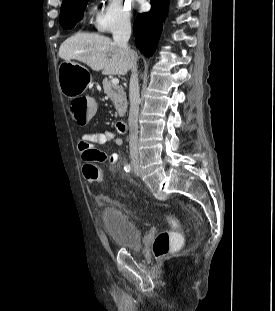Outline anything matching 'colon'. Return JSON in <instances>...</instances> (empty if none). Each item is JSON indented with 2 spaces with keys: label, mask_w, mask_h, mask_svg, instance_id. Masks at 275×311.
<instances>
[{
  "label": "colon",
  "mask_w": 275,
  "mask_h": 311,
  "mask_svg": "<svg viewBox=\"0 0 275 311\" xmlns=\"http://www.w3.org/2000/svg\"><path fill=\"white\" fill-rule=\"evenodd\" d=\"M97 104H101V97H83L75 99L70 104V111L76 125H89L95 117H99L100 112ZM103 161V160H97ZM84 176L91 185H96L101 180V167L96 162H89L84 166ZM188 210H190L188 208ZM166 220L177 227L178 222L175 218L166 216ZM183 245V239L175 231H161L154 239L152 249L156 257H164L167 254L179 250Z\"/></svg>",
  "instance_id": "1"
}]
</instances>
